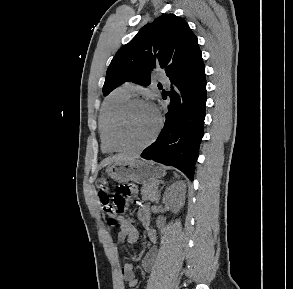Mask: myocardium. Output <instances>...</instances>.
<instances>
[{"label": "myocardium", "instance_id": "myocardium-1", "mask_svg": "<svg viewBox=\"0 0 293 289\" xmlns=\"http://www.w3.org/2000/svg\"><path fill=\"white\" fill-rule=\"evenodd\" d=\"M137 104H144L149 106L153 111L154 114L156 116V127L152 133V135L150 136V138L145 141L144 143L140 144V145H136V146H128L123 144L119 138H118V127H119V123L121 121V119L124 117V115L126 114V112L134 105ZM162 117L161 115L158 113V111L156 109H154L149 103H147L146 101H144L143 99L140 98H131L129 100H127L119 109L118 111L115 113L111 124H110V130H109V134H108V140L110 145L112 146V148L115 151H119V152H135V151H140L145 149L146 147L150 146L155 139L158 137L161 128H162Z\"/></svg>", "mask_w": 293, "mask_h": 289}]
</instances>
